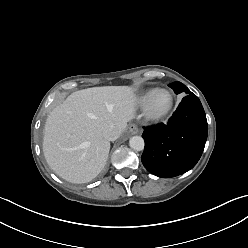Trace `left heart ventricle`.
Wrapping results in <instances>:
<instances>
[{
  "label": "left heart ventricle",
  "mask_w": 248,
  "mask_h": 248,
  "mask_svg": "<svg viewBox=\"0 0 248 248\" xmlns=\"http://www.w3.org/2000/svg\"><path fill=\"white\" fill-rule=\"evenodd\" d=\"M165 101H166V98L164 96H159L155 101V105L161 106L165 103Z\"/></svg>",
  "instance_id": "b2bd125f"
}]
</instances>
